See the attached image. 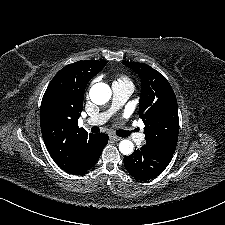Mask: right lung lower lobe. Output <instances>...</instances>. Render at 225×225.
I'll use <instances>...</instances> for the list:
<instances>
[{"mask_svg": "<svg viewBox=\"0 0 225 225\" xmlns=\"http://www.w3.org/2000/svg\"><path fill=\"white\" fill-rule=\"evenodd\" d=\"M94 144L89 151L88 154H86L84 161L82 162V167L75 173L74 175L82 174L89 169H91L98 161L101 152L105 145L108 142V135L107 134H95L93 138Z\"/></svg>", "mask_w": 225, "mask_h": 225, "instance_id": "98d812e1", "label": "right lung lower lobe"}]
</instances>
